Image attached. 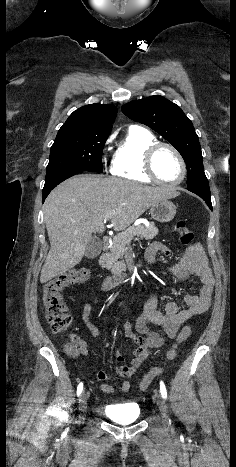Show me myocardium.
Wrapping results in <instances>:
<instances>
[{
  "instance_id": "f54148a6",
  "label": "myocardium",
  "mask_w": 236,
  "mask_h": 467,
  "mask_svg": "<svg viewBox=\"0 0 236 467\" xmlns=\"http://www.w3.org/2000/svg\"><path fill=\"white\" fill-rule=\"evenodd\" d=\"M162 148H167V149L171 150L176 155V157L178 158V160H179V162L181 164L182 173H181L180 178L175 182L163 181L162 179L159 178V176H158V174H157V172L155 170V158H156V155L159 152V150L162 149ZM144 169H145L146 174L154 182H156V183H158L160 185L169 186V187H174V186L180 185L184 181V179L186 178V175H187V165H186L184 157L182 156L180 151L175 146H173L170 143H166V142H156V143L150 145L146 149L145 158H144Z\"/></svg>"
}]
</instances>
